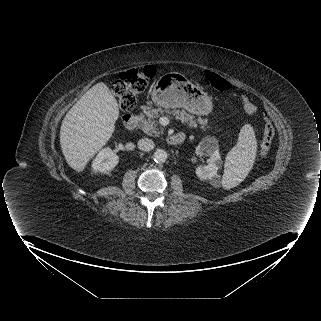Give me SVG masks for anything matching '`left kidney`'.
Returning <instances> with one entry per match:
<instances>
[{
  "label": "left kidney",
  "mask_w": 321,
  "mask_h": 321,
  "mask_svg": "<svg viewBox=\"0 0 321 321\" xmlns=\"http://www.w3.org/2000/svg\"><path fill=\"white\" fill-rule=\"evenodd\" d=\"M197 155L209 156V161L206 166H199L195 172L200 179H211L217 175L218 169L222 166L223 162L218 149V141L214 137H206L196 147Z\"/></svg>",
  "instance_id": "obj_1"
}]
</instances>
